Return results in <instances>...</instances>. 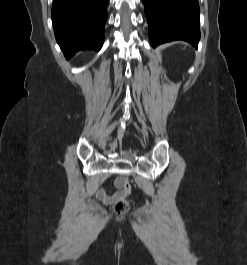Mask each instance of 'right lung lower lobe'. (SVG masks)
I'll return each mask as SVG.
<instances>
[{
    "label": "right lung lower lobe",
    "mask_w": 247,
    "mask_h": 265,
    "mask_svg": "<svg viewBox=\"0 0 247 265\" xmlns=\"http://www.w3.org/2000/svg\"><path fill=\"white\" fill-rule=\"evenodd\" d=\"M108 0H53L52 22L65 57L77 51H99L104 40Z\"/></svg>",
    "instance_id": "98d812e1"
}]
</instances>
